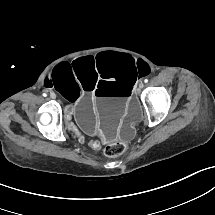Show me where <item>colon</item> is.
Wrapping results in <instances>:
<instances>
[{
	"label": "colon",
	"instance_id": "obj_1",
	"mask_svg": "<svg viewBox=\"0 0 215 215\" xmlns=\"http://www.w3.org/2000/svg\"><path fill=\"white\" fill-rule=\"evenodd\" d=\"M124 150H125V145L123 143L117 142V143L108 145L105 148L104 153L108 157H114L123 153Z\"/></svg>",
	"mask_w": 215,
	"mask_h": 215
}]
</instances>
